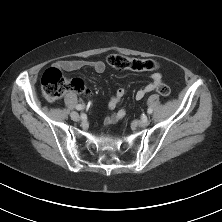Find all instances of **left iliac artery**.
Wrapping results in <instances>:
<instances>
[{
    "mask_svg": "<svg viewBox=\"0 0 222 222\" xmlns=\"http://www.w3.org/2000/svg\"><path fill=\"white\" fill-rule=\"evenodd\" d=\"M152 111H153V110H152L151 108H148V110H147L148 114H151Z\"/></svg>",
    "mask_w": 222,
    "mask_h": 222,
    "instance_id": "44dca946",
    "label": "left iliac artery"
}]
</instances>
